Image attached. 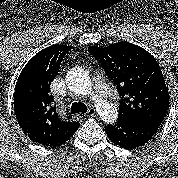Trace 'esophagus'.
<instances>
[{"label":"esophagus","instance_id":"obj_1","mask_svg":"<svg viewBox=\"0 0 178 178\" xmlns=\"http://www.w3.org/2000/svg\"><path fill=\"white\" fill-rule=\"evenodd\" d=\"M95 112H96V110H95L94 108H90V109L88 110V112L85 114V116H86V117L92 116L93 114H95ZM78 116H79V118L82 117L81 114H79Z\"/></svg>","mask_w":178,"mask_h":178}]
</instances>
